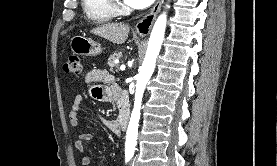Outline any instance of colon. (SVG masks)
<instances>
[{
  "mask_svg": "<svg viewBox=\"0 0 277 166\" xmlns=\"http://www.w3.org/2000/svg\"><path fill=\"white\" fill-rule=\"evenodd\" d=\"M64 71L69 74L80 75L82 73L80 56L77 54L70 55L64 64Z\"/></svg>",
  "mask_w": 277,
  "mask_h": 166,
  "instance_id": "1",
  "label": "colon"
}]
</instances>
